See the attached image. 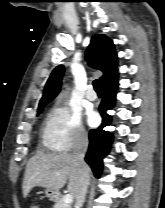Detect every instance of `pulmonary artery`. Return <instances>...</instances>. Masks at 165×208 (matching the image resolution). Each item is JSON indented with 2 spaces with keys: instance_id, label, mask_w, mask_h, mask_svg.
<instances>
[{
  "instance_id": "1",
  "label": "pulmonary artery",
  "mask_w": 165,
  "mask_h": 208,
  "mask_svg": "<svg viewBox=\"0 0 165 208\" xmlns=\"http://www.w3.org/2000/svg\"><path fill=\"white\" fill-rule=\"evenodd\" d=\"M86 98L89 101H94L96 99V94L92 91L91 88H88V90L86 92Z\"/></svg>"
}]
</instances>
